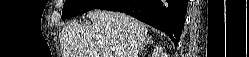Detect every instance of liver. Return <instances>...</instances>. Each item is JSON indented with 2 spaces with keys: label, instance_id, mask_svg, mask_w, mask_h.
<instances>
[{
  "label": "liver",
  "instance_id": "1",
  "mask_svg": "<svg viewBox=\"0 0 249 57\" xmlns=\"http://www.w3.org/2000/svg\"><path fill=\"white\" fill-rule=\"evenodd\" d=\"M92 25L70 22L61 33L63 57H138L147 43L146 25L120 12L93 10Z\"/></svg>",
  "mask_w": 249,
  "mask_h": 57
}]
</instances>
